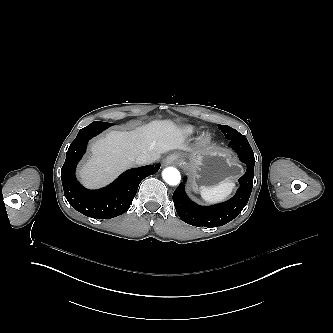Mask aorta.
<instances>
[{"mask_svg":"<svg viewBox=\"0 0 333 333\" xmlns=\"http://www.w3.org/2000/svg\"><path fill=\"white\" fill-rule=\"evenodd\" d=\"M164 181L170 186H177L181 183V174L174 167H167L162 173Z\"/></svg>","mask_w":333,"mask_h":333,"instance_id":"aorta-1","label":"aorta"}]
</instances>
